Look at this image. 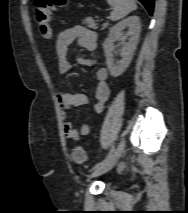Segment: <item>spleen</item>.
Returning a JSON list of instances; mask_svg holds the SVG:
<instances>
[{
	"label": "spleen",
	"instance_id": "obj_1",
	"mask_svg": "<svg viewBox=\"0 0 188 213\" xmlns=\"http://www.w3.org/2000/svg\"><path fill=\"white\" fill-rule=\"evenodd\" d=\"M107 2L113 7L110 15L112 21L122 19L137 8L135 0H107Z\"/></svg>",
	"mask_w": 188,
	"mask_h": 213
}]
</instances>
